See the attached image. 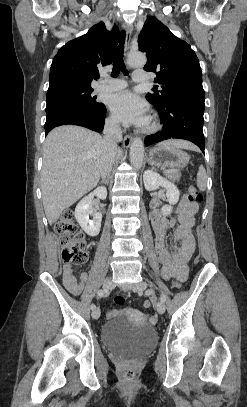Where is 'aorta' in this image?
<instances>
[{
  "instance_id": "1",
  "label": "aorta",
  "mask_w": 247,
  "mask_h": 407,
  "mask_svg": "<svg viewBox=\"0 0 247 407\" xmlns=\"http://www.w3.org/2000/svg\"><path fill=\"white\" fill-rule=\"evenodd\" d=\"M147 62L145 54L141 52L130 53L127 63L131 67H143ZM144 160V144L140 138H135L130 147V162L136 169H140Z\"/></svg>"
}]
</instances>
